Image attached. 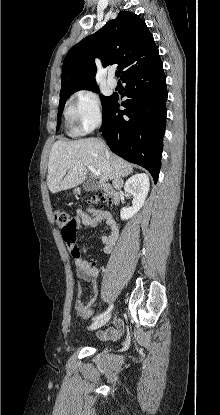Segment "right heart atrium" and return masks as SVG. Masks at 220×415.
I'll return each instance as SVG.
<instances>
[{
    "label": "right heart atrium",
    "mask_w": 220,
    "mask_h": 415,
    "mask_svg": "<svg viewBox=\"0 0 220 415\" xmlns=\"http://www.w3.org/2000/svg\"><path fill=\"white\" fill-rule=\"evenodd\" d=\"M72 133L85 134L102 124L101 100L91 89L78 91L66 112Z\"/></svg>",
    "instance_id": "obj_1"
}]
</instances>
